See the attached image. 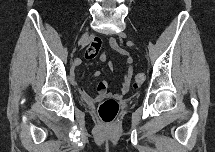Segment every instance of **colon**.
<instances>
[{"instance_id": "obj_1", "label": "colon", "mask_w": 215, "mask_h": 152, "mask_svg": "<svg viewBox=\"0 0 215 152\" xmlns=\"http://www.w3.org/2000/svg\"><path fill=\"white\" fill-rule=\"evenodd\" d=\"M102 46L100 39L95 38L91 41L85 51V57L87 59L95 58ZM145 81V75L143 73L136 74L133 82L134 88H139ZM119 112V103L114 98H106L98 106V115L100 119L105 123H111Z\"/></svg>"}]
</instances>
